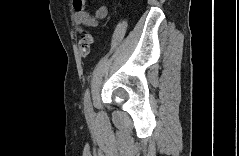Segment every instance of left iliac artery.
<instances>
[{
	"label": "left iliac artery",
	"instance_id": "1",
	"mask_svg": "<svg viewBox=\"0 0 239 156\" xmlns=\"http://www.w3.org/2000/svg\"><path fill=\"white\" fill-rule=\"evenodd\" d=\"M84 104L87 108H91L90 92L88 88L86 89L84 93Z\"/></svg>",
	"mask_w": 239,
	"mask_h": 156
}]
</instances>
